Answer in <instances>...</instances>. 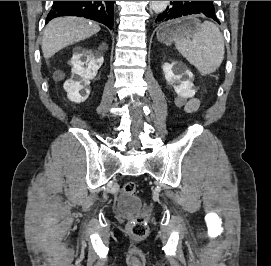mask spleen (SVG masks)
I'll list each match as a JSON object with an SVG mask.
<instances>
[{"label":"spleen","instance_id":"1","mask_svg":"<svg viewBox=\"0 0 271 266\" xmlns=\"http://www.w3.org/2000/svg\"><path fill=\"white\" fill-rule=\"evenodd\" d=\"M175 47L202 75L215 72L225 53L223 35L218 26L209 21L199 24L192 35L177 38Z\"/></svg>","mask_w":271,"mask_h":266}]
</instances>
